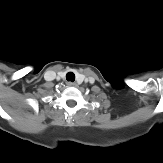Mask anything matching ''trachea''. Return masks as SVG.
<instances>
[{
    "label": "trachea",
    "mask_w": 163,
    "mask_h": 163,
    "mask_svg": "<svg viewBox=\"0 0 163 163\" xmlns=\"http://www.w3.org/2000/svg\"><path fill=\"white\" fill-rule=\"evenodd\" d=\"M66 79H67V81L74 82L75 81V74L73 72H68L66 74Z\"/></svg>",
    "instance_id": "3493384b"
}]
</instances>
